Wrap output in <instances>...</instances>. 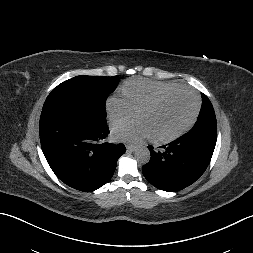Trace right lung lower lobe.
<instances>
[{
	"mask_svg": "<svg viewBox=\"0 0 253 253\" xmlns=\"http://www.w3.org/2000/svg\"><path fill=\"white\" fill-rule=\"evenodd\" d=\"M39 132L52 171L68 186L84 192L107 183L126 151L123 144L103 142L109 134L105 119L77 108L42 110Z\"/></svg>",
	"mask_w": 253,
	"mask_h": 253,
	"instance_id": "1",
	"label": "right lung lower lobe"
}]
</instances>
